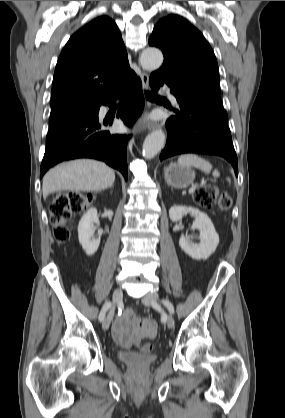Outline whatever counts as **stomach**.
Wrapping results in <instances>:
<instances>
[{
  "label": "stomach",
  "mask_w": 285,
  "mask_h": 418,
  "mask_svg": "<svg viewBox=\"0 0 285 418\" xmlns=\"http://www.w3.org/2000/svg\"><path fill=\"white\" fill-rule=\"evenodd\" d=\"M164 178L172 187L186 188L193 183L195 171L191 167H184L176 163H171L164 169Z\"/></svg>",
  "instance_id": "1"
}]
</instances>
